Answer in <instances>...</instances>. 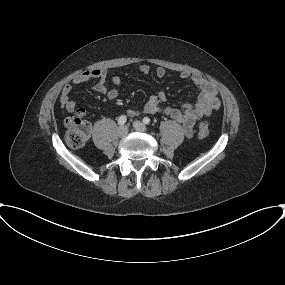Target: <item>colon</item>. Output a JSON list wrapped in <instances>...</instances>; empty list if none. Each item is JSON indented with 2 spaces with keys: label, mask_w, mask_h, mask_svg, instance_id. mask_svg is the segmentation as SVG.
Instances as JSON below:
<instances>
[{
  "label": "colon",
  "mask_w": 285,
  "mask_h": 285,
  "mask_svg": "<svg viewBox=\"0 0 285 285\" xmlns=\"http://www.w3.org/2000/svg\"><path fill=\"white\" fill-rule=\"evenodd\" d=\"M65 141L71 148H80L84 146L91 133V125L84 118V115L77 114L75 117L65 120ZM210 133L209 125L202 121L198 126V136L200 138L208 137Z\"/></svg>",
  "instance_id": "colon-1"
}]
</instances>
